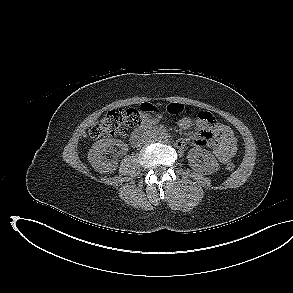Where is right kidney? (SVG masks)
<instances>
[{
    "label": "right kidney",
    "instance_id": "obj_1",
    "mask_svg": "<svg viewBox=\"0 0 293 293\" xmlns=\"http://www.w3.org/2000/svg\"><path fill=\"white\" fill-rule=\"evenodd\" d=\"M116 145L121 148L122 151L127 150V145L121 140L117 139H101L93 144L88 153V161L91 166L99 173H111L118 167V162L113 158L112 160L106 157L109 150Z\"/></svg>",
    "mask_w": 293,
    "mask_h": 293
}]
</instances>
